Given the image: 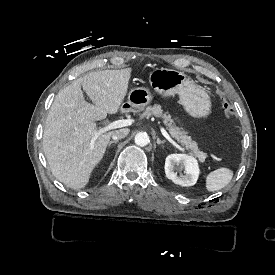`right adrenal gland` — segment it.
Here are the masks:
<instances>
[{
	"mask_svg": "<svg viewBox=\"0 0 275 275\" xmlns=\"http://www.w3.org/2000/svg\"><path fill=\"white\" fill-rule=\"evenodd\" d=\"M118 141H119V140H113V141H110V142L108 143V147H110V146H111V144H113V143H115V144H116V143H118Z\"/></svg>",
	"mask_w": 275,
	"mask_h": 275,
	"instance_id": "right-adrenal-gland-1",
	"label": "right adrenal gland"
}]
</instances>
